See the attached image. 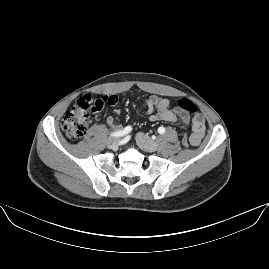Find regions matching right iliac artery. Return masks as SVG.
I'll return each instance as SVG.
<instances>
[{
  "label": "right iliac artery",
  "mask_w": 269,
  "mask_h": 269,
  "mask_svg": "<svg viewBox=\"0 0 269 269\" xmlns=\"http://www.w3.org/2000/svg\"><path fill=\"white\" fill-rule=\"evenodd\" d=\"M131 127L130 126H127L125 129L121 130V131H118V132H114V133H111L110 136L111 137H121L127 133H129L131 131Z\"/></svg>",
  "instance_id": "obj_1"
}]
</instances>
